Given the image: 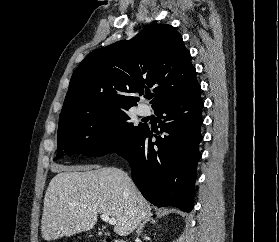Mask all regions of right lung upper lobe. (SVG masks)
<instances>
[{
  "label": "right lung upper lobe",
  "instance_id": "cb5924a9",
  "mask_svg": "<svg viewBox=\"0 0 279 242\" xmlns=\"http://www.w3.org/2000/svg\"><path fill=\"white\" fill-rule=\"evenodd\" d=\"M198 85L182 36L171 25L157 24L131 40L91 52L74 71L59 124L105 118L135 106L154 87L156 109Z\"/></svg>",
  "mask_w": 279,
  "mask_h": 242
}]
</instances>
